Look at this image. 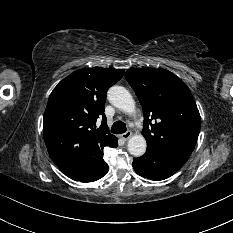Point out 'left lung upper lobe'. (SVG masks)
Segmentation results:
<instances>
[{
	"label": "left lung upper lobe",
	"instance_id": "left-lung-upper-lobe-1",
	"mask_svg": "<svg viewBox=\"0 0 233 233\" xmlns=\"http://www.w3.org/2000/svg\"><path fill=\"white\" fill-rule=\"evenodd\" d=\"M125 77L143 107L142 135L147 147L189 157L201 124L190 89L178 76L164 69H130Z\"/></svg>",
	"mask_w": 233,
	"mask_h": 233
}]
</instances>
